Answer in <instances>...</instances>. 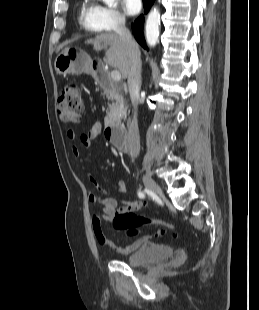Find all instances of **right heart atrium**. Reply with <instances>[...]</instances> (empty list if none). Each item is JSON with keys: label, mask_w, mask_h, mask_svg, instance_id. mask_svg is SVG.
Returning a JSON list of instances; mask_svg holds the SVG:
<instances>
[{"label": "right heart atrium", "mask_w": 259, "mask_h": 310, "mask_svg": "<svg viewBox=\"0 0 259 310\" xmlns=\"http://www.w3.org/2000/svg\"><path fill=\"white\" fill-rule=\"evenodd\" d=\"M96 20L103 30L114 31L125 23L124 15L114 7L96 5Z\"/></svg>", "instance_id": "obj_1"}]
</instances>
